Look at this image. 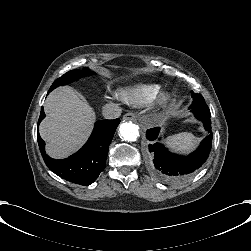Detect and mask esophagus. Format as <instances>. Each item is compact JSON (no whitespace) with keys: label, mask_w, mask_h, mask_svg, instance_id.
I'll use <instances>...</instances> for the list:
<instances>
[{"label":"esophagus","mask_w":251,"mask_h":251,"mask_svg":"<svg viewBox=\"0 0 251 251\" xmlns=\"http://www.w3.org/2000/svg\"><path fill=\"white\" fill-rule=\"evenodd\" d=\"M123 120H126V121H135L136 118H135L134 114H132V113H126L123 116Z\"/></svg>","instance_id":"obj_1"}]
</instances>
